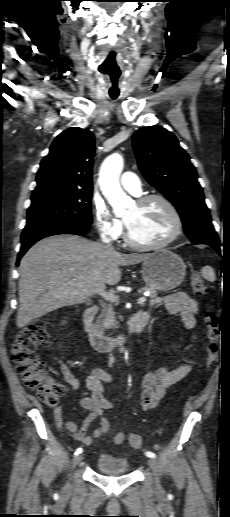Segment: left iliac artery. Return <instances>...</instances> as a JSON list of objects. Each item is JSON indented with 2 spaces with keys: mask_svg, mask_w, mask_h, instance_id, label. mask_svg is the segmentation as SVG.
Returning <instances> with one entry per match:
<instances>
[{
  "mask_svg": "<svg viewBox=\"0 0 230 517\" xmlns=\"http://www.w3.org/2000/svg\"><path fill=\"white\" fill-rule=\"evenodd\" d=\"M145 455L148 456V457H151V458H155L156 457V455L153 452H151V451H147L145 453Z\"/></svg>",
  "mask_w": 230,
  "mask_h": 517,
  "instance_id": "left-iliac-artery-1",
  "label": "left iliac artery"
}]
</instances>
